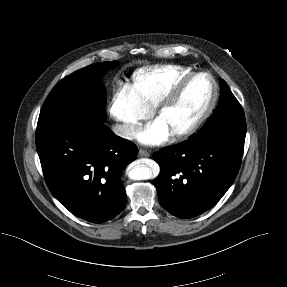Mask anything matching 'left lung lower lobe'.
Instances as JSON below:
<instances>
[{
  "mask_svg": "<svg viewBox=\"0 0 287 287\" xmlns=\"http://www.w3.org/2000/svg\"><path fill=\"white\" fill-rule=\"evenodd\" d=\"M244 144L192 137L154 153L161 173L155 180L161 206L178 218L212 208L233 184Z\"/></svg>",
  "mask_w": 287,
  "mask_h": 287,
  "instance_id": "0a47b994",
  "label": "left lung lower lobe"
}]
</instances>
